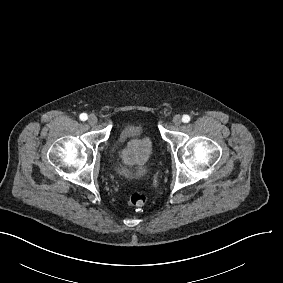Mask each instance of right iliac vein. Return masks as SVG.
I'll list each match as a JSON object with an SVG mask.
<instances>
[{
  "label": "right iliac vein",
  "instance_id": "63e3f726",
  "mask_svg": "<svg viewBox=\"0 0 283 283\" xmlns=\"http://www.w3.org/2000/svg\"><path fill=\"white\" fill-rule=\"evenodd\" d=\"M97 122H98V119H97V117L94 114L89 116L88 123L90 125H95Z\"/></svg>",
  "mask_w": 283,
  "mask_h": 283
}]
</instances>
